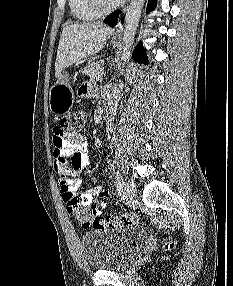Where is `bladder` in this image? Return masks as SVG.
<instances>
[{"mask_svg": "<svg viewBox=\"0 0 233 286\" xmlns=\"http://www.w3.org/2000/svg\"><path fill=\"white\" fill-rule=\"evenodd\" d=\"M144 238L145 233L141 228L128 227L116 231L86 232L81 238V244L92 270H118L130 263Z\"/></svg>", "mask_w": 233, "mask_h": 286, "instance_id": "31cf9c89", "label": "bladder"}]
</instances>
